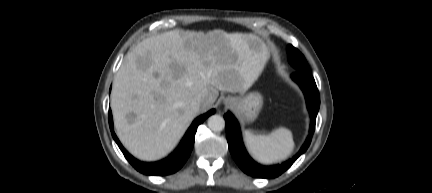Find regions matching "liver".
<instances>
[{
	"mask_svg": "<svg viewBox=\"0 0 432 193\" xmlns=\"http://www.w3.org/2000/svg\"><path fill=\"white\" fill-rule=\"evenodd\" d=\"M268 59L266 44L251 33L172 30L146 38L115 75L111 109L117 136L134 157L161 159L219 91L244 94ZM194 99H201L198 111L191 108ZM129 114L135 115L132 122Z\"/></svg>",
	"mask_w": 432,
	"mask_h": 193,
	"instance_id": "obj_1",
	"label": "liver"
}]
</instances>
